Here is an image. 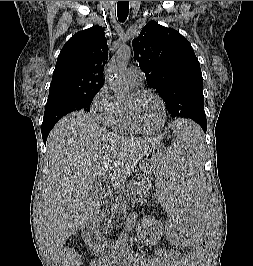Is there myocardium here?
Listing matches in <instances>:
<instances>
[{
  "label": "myocardium",
  "mask_w": 253,
  "mask_h": 266,
  "mask_svg": "<svg viewBox=\"0 0 253 266\" xmlns=\"http://www.w3.org/2000/svg\"><path fill=\"white\" fill-rule=\"evenodd\" d=\"M145 95H152V96L156 97L157 100L159 101L160 105H161L162 121L159 124V126H157L156 128H152V129L143 128V127H141V125L139 124V122L137 120L134 106H133V102L135 100L141 98L142 96H145ZM126 111H127L129 122H130L132 128L136 132L143 133V134H154V133L161 131L165 127V125L167 123V119H168V111H167V105H166L165 100L157 91L152 90V89H141V90L134 91L131 94L130 99L126 103Z\"/></svg>",
  "instance_id": "myocardium-1"
}]
</instances>
